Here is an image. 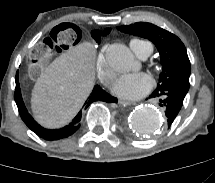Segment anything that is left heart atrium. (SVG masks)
I'll return each mask as SVG.
<instances>
[{"mask_svg":"<svg viewBox=\"0 0 215 183\" xmlns=\"http://www.w3.org/2000/svg\"><path fill=\"white\" fill-rule=\"evenodd\" d=\"M152 87L150 77L145 73L125 74L113 84L115 95L125 99H138L147 94Z\"/></svg>","mask_w":215,"mask_h":183,"instance_id":"obj_1","label":"left heart atrium"}]
</instances>
